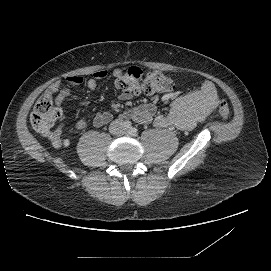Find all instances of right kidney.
Listing matches in <instances>:
<instances>
[{
    "instance_id": "1",
    "label": "right kidney",
    "mask_w": 271,
    "mask_h": 271,
    "mask_svg": "<svg viewBox=\"0 0 271 271\" xmlns=\"http://www.w3.org/2000/svg\"><path fill=\"white\" fill-rule=\"evenodd\" d=\"M63 144H64L65 147H68L69 144H70V141L68 139H65Z\"/></svg>"
}]
</instances>
